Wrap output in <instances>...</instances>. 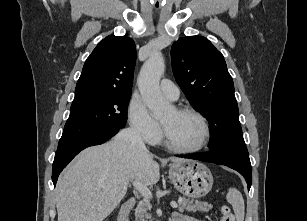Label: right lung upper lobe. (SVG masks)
<instances>
[{"instance_id":"right-lung-upper-lobe-1","label":"right lung upper lobe","mask_w":307,"mask_h":221,"mask_svg":"<svg viewBox=\"0 0 307 221\" xmlns=\"http://www.w3.org/2000/svg\"><path fill=\"white\" fill-rule=\"evenodd\" d=\"M135 62L133 39L106 37L85 61L73 102L112 93H131Z\"/></svg>"}]
</instances>
